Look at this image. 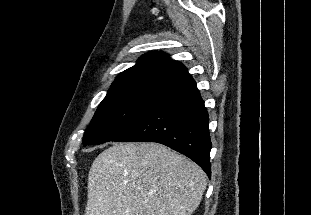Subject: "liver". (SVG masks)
Segmentation results:
<instances>
[{
    "label": "liver",
    "instance_id": "1",
    "mask_svg": "<svg viewBox=\"0 0 311 215\" xmlns=\"http://www.w3.org/2000/svg\"><path fill=\"white\" fill-rule=\"evenodd\" d=\"M206 185L197 164L164 145L116 143L90 168L85 215H191Z\"/></svg>",
    "mask_w": 311,
    "mask_h": 215
}]
</instances>
